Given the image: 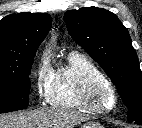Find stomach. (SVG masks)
I'll use <instances>...</instances> for the list:
<instances>
[{
	"label": "stomach",
	"instance_id": "stomach-1",
	"mask_svg": "<svg viewBox=\"0 0 142 128\" xmlns=\"http://www.w3.org/2000/svg\"><path fill=\"white\" fill-rule=\"evenodd\" d=\"M81 128H104L101 124L94 121H88L82 125Z\"/></svg>",
	"mask_w": 142,
	"mask_h": 128
}]
</instances>
